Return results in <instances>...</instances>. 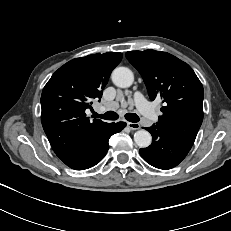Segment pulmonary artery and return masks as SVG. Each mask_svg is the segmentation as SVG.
Segmentation results:
<instances>
[{
	"label": "pulmonary artery",
	"mask_w": 231,
	"mask_h": 231,
	"mask_svg": "<svg viewBox=\"0 0 231 231\" xmlns=\"http://www.w3.org/2000/svg\"><path fill=\"white\" fill-rule=\"evenodd\" d=\"M134 102L138 110L146 116L149 120L156 119V113L151 105L146 101L144 96L140 92L134 94ZM113 107V105H111Z\"/></svg>",
	"instance_id": "1"
}]
</instances>
